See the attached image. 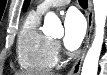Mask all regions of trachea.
<instances>
[{"instance_id": "3493384b", "label": "trachea", "mask_w": 107, "mask_h": 75, "mask_svg": "<svg viewBox=\"0 0 107 75\" xmlns=\"http://www.w3.org/2000/svg\"><path fill=\"white\" fill-rule=\"evenodd\" d=\"M79 4L81 7L86 8L88 6L87 0H79Z\"/></svg>"}]
</instances>
